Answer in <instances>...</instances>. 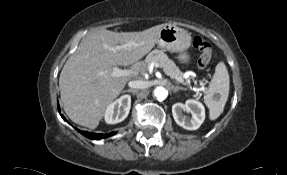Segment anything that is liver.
Listing matches in <instances>:
<instances>
[{"label":"liver","instance_id":"1","mask_svg":"<svg viewBox=\"0 0 287 175\" xmlns=\"http://www.w3.org/2000/svg\"><path fill=\"white\" fill-rule=\"evenodd\" d=\"M166 24L141 32L99 29L89 33L66 61L59 77L61 101L76 124L95 129L126 83L144 70L142 59ZM119 44V45H118ZM128 45L121 49L116 46ZM132 65L129 76L114 77V66Z\"/></svg>","mask_w":287,"mask_h":175}]
</instances>
